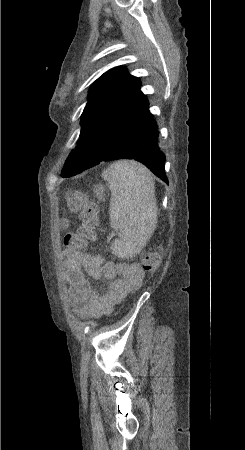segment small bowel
Returning a JSON list of instances; mask_svg holds the SVG:
<instances>
[{
  "mask_svg": "<svg viewBox=\"0 0 245 450\" xmlns=\"http://www.w3.org/2000/svg\"><path fill=\"white\" fill-rule=\"evenodd\" d=\"M63 254L71 290V307L81 317L100 318L111 314L127 293L142 284L144 273L135 263L115 265L100 253L77 255L65 249ZM85 273L96 280L111 281L110 287L99 294Z\"/></svg>",
  "mask_w": 245,
  "mask_h": 450,
  "instance_id": "small-bowel-1",
  "label": "small bowel"
}]
</instances>
